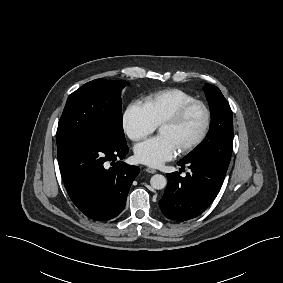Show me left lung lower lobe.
Segmentation results:
<instances>
[{
  "instance_id": "1",
  "label": "left lung lower lobe",
  "mask_w": 283,
  "mask_h": 283,
  "mask_svg": "<svg viewBox=\"0 0 283 283\" xmlns=\"http://www.w3.org/2000/svg\"><path fill=\"white\" fill-rule=\"evenodd\" d=\"M191 169L185 177L179 172L167 174L168 186L159 206L169 219L186 221L200 215L219 193L228 167L208 159L181 160Z\"/></svg>"
}]
</instances>
